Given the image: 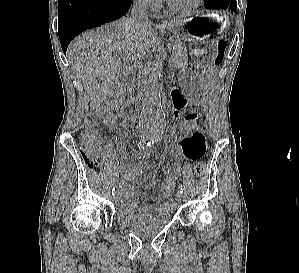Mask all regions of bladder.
<instances>
[{
  "label": "bladder",
  "instance_id": "1",
  "mask_svg": "<svg viewBox=\"0 0 299 273\" xmlns=\"http://www.w3.org/2000/svg\"><path fill=\"white\" fill-rule=\"evenodd\" d=\"M173 210L165 213L157 211L153 215L145 218L117 210L116 219L120 224L133 232L140 234L151 233L160 230L171 223L173 220Z\"/></svg>",
  "mask_w": 299,
  "mask_h": 273
}]
</instances>
